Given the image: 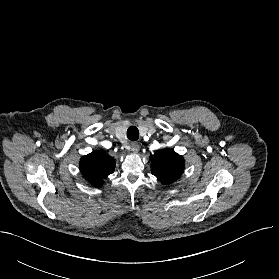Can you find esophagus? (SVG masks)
I'll list each match as a JSON object with an SVG mask.
<instances>
[{
    "label": "esophagus",
    "instance_id": "34e87169",
    "mask_svg": "<svg viewBox=\"0 0 279 279\" xmlns=\"http://www.w3.org/2000/svg\"><path fill=\"white\" fill-rule=\"evenodd\" d=\"M130 149H131L132 152L138 153L139 150H140V145H139V143L136 142V141L131 142V143H130Z\"/></svg>",
    "mask_w": 279,
    "mask_h": 279
}]
</instances>
